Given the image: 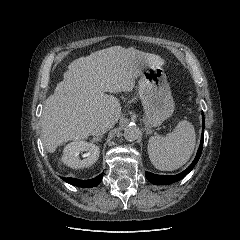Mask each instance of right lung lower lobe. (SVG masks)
<instances>
[{
    "label": "right lung lower lobe",
    "mask_w": 240,
    "mask_h": 240,
    "mask_svg": "<svg viewBox=\"0 0 240 240\" xmlns=\"http://www.w3.org/2000/svg\"><path fill=\"white\" fill-rule=\"evenodd\" d=\"M103 178V174L91 179V180H78V179H74V178H62L65 182L74 185V186H78V187H94L97 186L101 180Z\"/></svg>",
    "instance_id": "right-lung-lower-lobe-1"
}]
</instances>
